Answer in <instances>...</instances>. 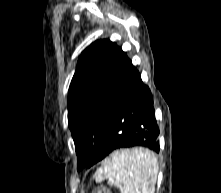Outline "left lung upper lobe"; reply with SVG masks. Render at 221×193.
I'll use <instances>...</instances> for the list:
<instances>
[{
    "mask_svg": "<svg viewBox=\"0 0 221 193\" xmlns=\"http://www.w3.org/2000/svg\"><path fill=\"white\" fill-rule=\"evenodd\" d=\"M131 60L115 43L98 40L78 61L68 94V123L81 170L108 132L120 85Z\"/></svg>",
    "mask_w": 221,
    "mask_h": 193,
    "instance_id": "1",
    "label": "left lung upper lobe"
}]
</instances>
